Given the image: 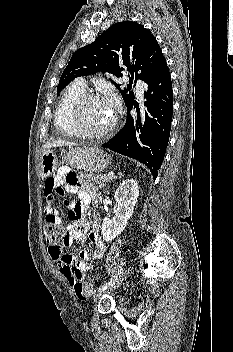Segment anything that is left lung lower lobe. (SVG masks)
<instances>
[{
  "instance_id": "left-lung-lower-lobe-1",
  "label": "left lung lower lobe",
  "mask_w": 233,
  "mask_h": 352,
  "mask_svg": "<svg viewBox=\"0 0 233 352\" xmlns=\"http://www.w3.org/2000/svg\"><path fill=\"white\" fill-rule=\"evenodd\" d=\"M145 83L144 114L140 115L133 100L127 105L126 124L102 147L142 162L156 179L168 145L173 114L172 83L166 62ZM133 107L137 110V118L130 115Z\"/></svg>"
}]
</instances>
